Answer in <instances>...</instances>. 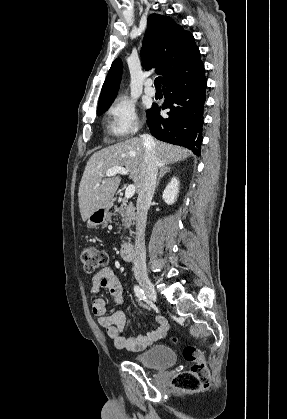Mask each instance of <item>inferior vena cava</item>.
<instances>
[{
	"label": "inferior vena cava",
	"mask_w": 287,
	"mask_h": 419,
	"mask_svg": "<svg viewBox=\"0 0 287 419\" xmlns=\"http://www.w3.org/2000/svg\"><path fill=\"white\" fill-rule=\"evenodd\" d=\"M145 148L143 178L137 198L135 257L133 272L135 277L146 276L145 228L147 212L151 204L158 174L159 160L155 151V141L148 134L141 135Z\"/></svg>",
	"instance_id": "602c4592"
}]
</instances>
